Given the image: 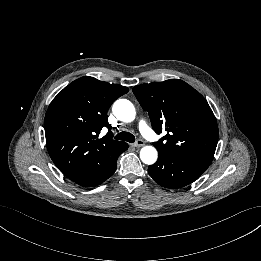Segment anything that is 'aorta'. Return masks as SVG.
I'll return each mask as SVG.
<instances>
[{
	"mask_svg": "<svg viewBox=\"0 0 261 261\" xmlns=\"http://www.w3.org/2000/svg\"><path fill=\"white\" fill-rule=\"evenodd\" d=\"M113 114L123 122H131L135 119L136 112L133 104L126 99L117 100L112 107ZM158 157L157 150L153 146H145L140 151V159L147 165H152Z\"/></svg>",
	"mask_w": 261,
	"mask_h": 261,
	"instance_id": "aorta-1",
	"label": "aorta"
}]
</instances>
